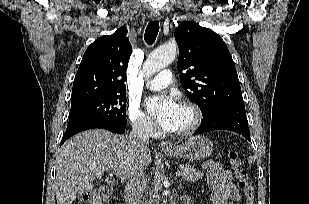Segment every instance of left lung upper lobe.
Here are the masks:
<instances>
[{
  "label": "left lung upper lobe",
  "mask_w": 309,
  "mask_h": 204,
  "mask_svg": "<svg viewBox=\"0 0 309 204\" xmlns=\"http://www.w3.org/2000/svg\"><path fill=\"white\" fill-rule=\"evenodd\" d=\"M175 39L181 85L203 116L223 105L243 103L234 62L218 34L184 21L175 30Z\"/></svg>",
  "instance_id": "1"
}]
</instances>
